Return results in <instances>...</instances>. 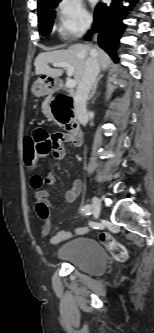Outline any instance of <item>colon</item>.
Here are the masks:
<instances>
[{
    "instance_id": "5ec220e1",
    "label": "colon",
    "mask_w": 154,
    "mask_h": 333,
    "mask_svg": "<svg viewBox=\"0 0 154 333\" xmlns=\"http://www.w3.org/2000/svg\"><path fill=\"white\" fill-rule=\"evenodd\" d=\"M52 108L58 122L70 132L69 120L71 118V98L66 95H59L52 102ZM23 160L27 167L32 168L36 165L38 157L36 144L32 136H26L23 140ZM100 241L110 251L117 261H124L127 258L125 247L119 243L110 233L100 234Z\"/></svg>"
}]
</instances>
